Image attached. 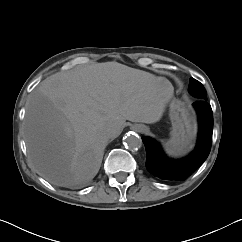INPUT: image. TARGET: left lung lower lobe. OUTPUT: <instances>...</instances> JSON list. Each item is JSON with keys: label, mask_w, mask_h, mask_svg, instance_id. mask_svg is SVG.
<instances>
[{"label": "left lung lower lobe", "mask_w": 242, "mask_h": 242, "mask_svg": "<svg viewBox=\"0 0 242 242\" xmlns=\"http://www.w3.org/2000/svg\"><path fill=\"white\" fill-rule=\"evenodd\" d=\"M199 117V137L196 149L188 157L173 160L166 157L160 145L148 137H143L146 148V168L154 176L163 180L183 181L187 179L208 157L213 133V113L206 100L198 99L193 104Z\"/></svg>", "instance_id": "left-lung-lower-lobe-1"}]
</instances>
